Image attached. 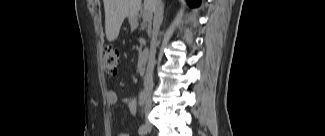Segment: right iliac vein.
Returning <instances> with one entry per match:
<instances>
[{"label": "right iliac vein", "instance_id": "right-iliac-vein-1", "mask_svg": "<svg viewBox=\"0 0 325 136\" xmlns=\"http://www.w3.org/2000/svg\"><path fill=\"white\" fill-rule=\"evenodd\" d=\"M146 127L147 128H151L152 127L149 121L146 122Z\"/></svg>", "mask_w": 325, "mask_h": 136}]
</instances>
